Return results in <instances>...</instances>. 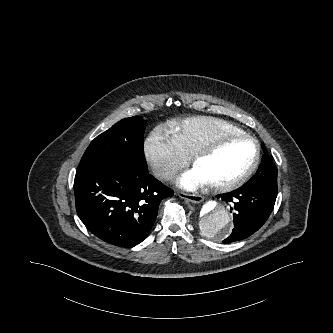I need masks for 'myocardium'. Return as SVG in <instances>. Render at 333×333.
Returning <instances> with one entry per match:
<instances>
[{
  "label": "myocardium",
  "mask_w": 333,
  "mask_h": 333,
  "mask_svg": "<svg viewBox=\"0 0 333 333\" xmlns=\"http://www.w3.org/2000/svg\"><path fill=\"white\" fill-rule=\"evenodd\" d=\"M248 140L254 143L255 145V156L249 165V167L237 178L225 182V183H218V184H208V188L213 192H227L239 188L244 183H246L249 178L252 176L254 171L259 165L260 157H261V146L259 141L254 137L247 133H223L217 135L201 145L198 149H196L190 155V162L193 166L197 163L198 160L208 156L217 146L221 143L228 141V140Z\"/></svg>",
  "instance_id": "f54148a6"
}]
</instances>
